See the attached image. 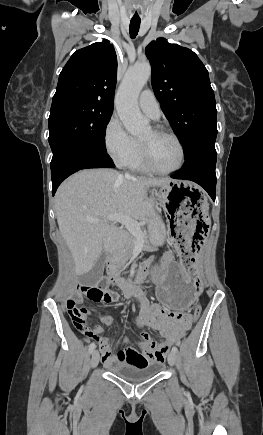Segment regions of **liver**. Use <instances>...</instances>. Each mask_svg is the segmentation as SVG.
Masks as SVG:
<instances>
[{"instance_id":"obj_1","label":"liver","mask_w":263,"mask_h":435,"mask_svg":"<svg viewBox=\"0 0 263 435\" xmlns=\"http://www.w3.org/2000/svg\"><path fill=\"white\" fill-rule=\"evenodd\" d=\"M171 178H138L111 169H88L65 180L55 195L60 233L71 251L76 275H84L103 253L113 254L126 243L128 234L110 224V215L124 214L146 221L156 245L165 240V225L157 217L150 187L163 186ZM88 219L100 220L93 224Z\"/></svg>"}]
</instances>
